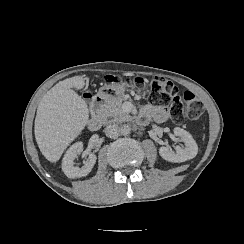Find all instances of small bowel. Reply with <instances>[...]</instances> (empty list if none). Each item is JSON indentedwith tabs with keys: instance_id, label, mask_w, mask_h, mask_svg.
<instances>
[{
	"instance_id": "c3829d8e",
	"label": "small bowel",
	"mask_w": 244,
	"mask_h": 244,
	"mask_svg": "<svg viewBox=\"0 0 244 244\" xmlns=\"http://www.w3.org/2000/svg\"><path fill=\"white\" fill-rule=\"evenodd\" d=\"M140 117L143 122L154 120L157 123H164L169 119L170 115L163 107L148 104L141 109Z\"/></svg>"
}]
</instances>
